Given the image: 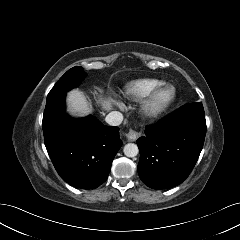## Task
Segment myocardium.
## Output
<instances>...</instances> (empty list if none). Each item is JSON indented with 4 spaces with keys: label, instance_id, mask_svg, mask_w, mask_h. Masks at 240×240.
<instances>
[{
    "label": "myocardium",
    "instance_id": "myocardium-1",
    "mask_svg": "<svg viewBox=\"0 0 240 240\" xmlns=\"http://www.w3.org/2000/svg\"><path fill=\"white\" fill-rule=\"evenodd\" d=\"M167 93L166 97H162ZM176 90L171 85H161L154 89L145 99L142 105L143 112L152 117L166 112L176 99Z\"/></svg>",
    "mask_w": 240,
    "mask_h": 240
}]
</instances>
